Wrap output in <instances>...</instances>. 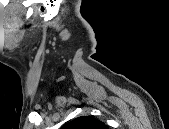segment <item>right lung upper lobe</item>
<instances>
[{
	"mask_svg": "<svg viewBox=\"0 0 169 129\" xmlns=\"http://www.w3.org/2000/svg\"><path fill=\"white\" fill-rule=\"evenodd\" d=\"M63 129H106L103 122L89 116L78 117L66 123Z\"/></svg>",
	"mask_w": 169,
	"mask_h": 129,
	"instance_id": "cb5924a9",
	"label": "right lung upper lobe"
}]
</instances>
